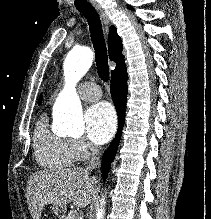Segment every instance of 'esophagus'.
Wrapping results in <instances>:
<instances>
[{
    "label": "esophagus",
    "instance_id": "obj_1",
    "mask_svg": "<svg viewBox=\"0 0 211 219\" xmlns=\"http://www.w3.org/2000/svg\"><path fill=\"white\" fill-rule=\"evenodd\" d=\"M94 7L97 10V12L99 13L100 18H101L103 24L104 25H108L109 24V18H108L107 13L105 12V10L102 9L101 6L98 5V4H94Z\"/></svg>",
    "mask_w": 211,
    "mask_h": 219
}]
</instances>
